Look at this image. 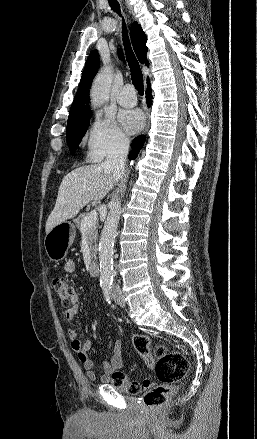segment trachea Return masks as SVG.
<instances>
[{"label": "trachea", "mask_w": 257, "mask_h": 439, "mask_svg": "<svg viewBox=\"0 0 257 439\" xmlns=\"http://www.w3.org/2000/svg\"><path fill=\"white\" fill-rule=\"evenodd\" d=\"M109 4L115 12L121 15L120 5L116 0H109ZM122 34H123V43H124L126 58L131 72V80L133 82V85L137 89L138 93L142 95L144 93L143 75L140 65L132 51L124 20H123Z\"/></svg>", "instance_id": "trachea-1"}]
</instances>
